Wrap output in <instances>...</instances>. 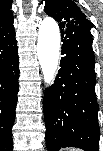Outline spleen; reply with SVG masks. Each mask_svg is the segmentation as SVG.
Masks as SVG:
<instances>
[{
  "label": "spleen",
  "instance_id": "spleen-1",
  "mask_svg": "<svg viewBox=\"0 0 103 151\" xmlns=\"http://www.w3.org/2000/svg\"><path fill=\"white\" fill-rule=\"evenodd\" d=\"M69 151H82V150L73 148V149H70Z\"/></svg>",
  "mask_w": 103,
  "mask_h": 151
}]
</instances>
